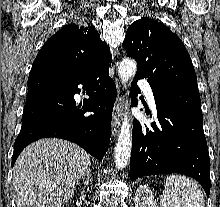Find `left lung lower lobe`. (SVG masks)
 Wrapping results in <instances>:
<instances>
[{
  "label": "left lung lower lobe",
  "instance_id": "1",
  "mask_svg": "<svg viewBox=\"0 0 220 207\" xmlns=\"http://www.w3.org/2000/svg\"><path fill=\"white\" fill-rule=\"evenodd\" d=\"M136 75L131 87L140 89ZM157 107V122L148 128L134 120L130 179L164 173H181L196 179L210 193V160L203 130L200 94L196 81L166 80L150 85ZM132 105L137 101L132 98Z\"/></svg>",
  "mask_w": 220,
  "mask_h": 207
}]
</instances>
